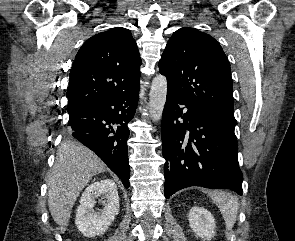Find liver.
<instances>
[{"mask_svg": "<svg viewBox=\"0 0 295 241\" xmlns=\"http://www.w3.org/2000/svg\"><path fill=\"white\" fill-rule=\"evenodd\" d=\"M106 170L105 163L85 146L74 141H65L59 146L48 177V207L56 224H68L82 189L93 176Z\"/></svg>", "mask_w": 295, "mask_h": 241, "instance_id": "obj_1", "label": "liver"}]
</instances>
